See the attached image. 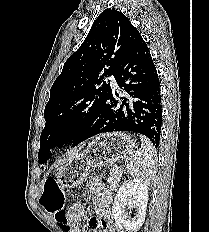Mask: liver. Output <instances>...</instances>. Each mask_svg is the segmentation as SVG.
<instances>
[{
  "instance_id": "liver-1",
  "label": "liver",
  "mask_w": 209,
  "mask_h": 232,
  "mask_svg": "<svg viewBox=\"0 0 209 232\" xmlns=\"http://www.w3.org/2000/svg\"><path fill=\"white\" fill-rule=\"evenodd\" d=\"M79 150H80V148H79V149H75V150L69 152V153L66 155V157H65L63 160H61V161L59 162V164L65 163L68 159H70V158H72L73 156H75V155L78 153Z\"/></svg>"
}]
</instances>
